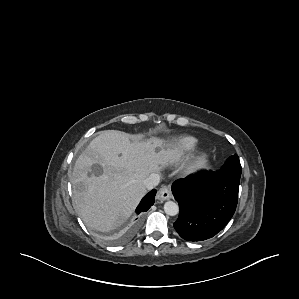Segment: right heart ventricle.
<instances>
[{"instance_id": "1", "label": "right heart ventricle", "mask_w": 299, "mask_h": 299, "mask_svg": "<svg viewBox=\"0 0 299 299\" xmlns=\"http://www.w3.org/2000/svg\"><path fill=\"white\" fill-rule=\"evenodd\" d=\"M198 146V141L190 136L175 139L167 150V155L171 159H180L192 153Z\"/></svg>"}]
</instances>
